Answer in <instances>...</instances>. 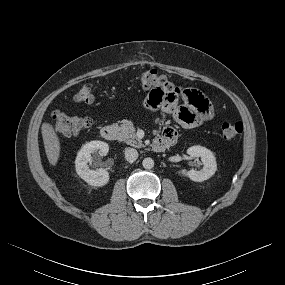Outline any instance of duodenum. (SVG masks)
I'll return each instance as SVG.
<instances>
[{"label": "duodenum", "mask_w": 285, "mask_h": 285, "mask_svg": "<svg viewBox=\"0 0 285 285\" xmlns=\"http://www.w3.org/2000/svg\"><path fill=\"white\" fill-rule=\"evenodd\" d=\"M100 134L102 138L107 141H115L118 137L117 128L113 125H105L101 128ZM170 145V143L163 138H156L153 142L152 148L156 152H163Z\"/></svg>", "instance_id": "410a0bca"}]
</instances>
